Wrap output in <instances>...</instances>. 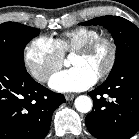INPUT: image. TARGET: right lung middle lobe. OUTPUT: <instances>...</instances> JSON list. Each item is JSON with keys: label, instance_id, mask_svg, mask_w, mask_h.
Instances as JSON below:
<instances>
[{"label": "right lung middle lobe", "instance_id": "obj_1", "mask_svg": "<svg viewBox=\"0 0 139 139\" xmlns=\"http://www.w3.org/2000/svg\"><path fill=\"white\" fill-rule=\"evenodd\" d=\"M39 30L16 22L0 24V58L24 65V48Z\"/></svg>", "mask_w": 139, "mask_h": 139}]
</instances>
